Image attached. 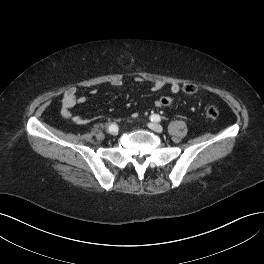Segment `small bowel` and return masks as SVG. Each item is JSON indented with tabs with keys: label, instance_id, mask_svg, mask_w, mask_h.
<instances>
[{
	"label": "small bowel",
	"instance_id": "obj_1",
	"mask_svg": "<svg viewBox=\"0 0 264 264\" xmlns=\"http://www.w3.org/2000/svg\"><path fill=\"white\" fill-rule=\"evenodd\" d=\"M136 82H141L142 78L137 77L135 78ZM111 85L114 87H120L122 85V81L120 79H115L111 82ZM165 86V82L161 81V80H156L152 83L151 86V90L156 92V91H160L161 89H163ZM180 90V87L178 84L173 83L170 86V91L173 94L178 93ZM96 90H93L92 93H95ZM86 102V98L82 95L79 94V91L77 88L72 87L67 89L64 92L63 98H62V105H61V115L64 118L70 119L72 120L74 123L76 124H85L87 123L89 120L82 118L81 116L78 115H73L72 113V109L77 105V104H82ZM156 106H159L158 101L155 102Z\"/></svg>",
	"mask_w": 264,
	"mask_h": 264
}]
</instances>
